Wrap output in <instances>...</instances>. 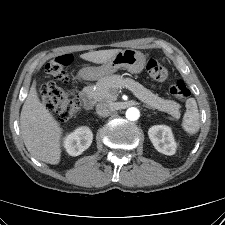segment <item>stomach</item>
<instances>
[{
    "mask_svg": "<svg viewBox=\"0 0 225 225\" xmlns=\"http://www.w3.org/2000/svg\"><path fill=\"white\" fill-rule=\"evenodd\" d=\"M145 61V55L140 51L124 49L99 67L85 68L83 76L87 79L95 80L109 76L119 69H125L132 74H138L144 69Z\"/></svg>",
    "mask_w": 225,
    "mask_h": 225,
    "instance_id": "1",
    "label": "stomach"
}]
</instances>
